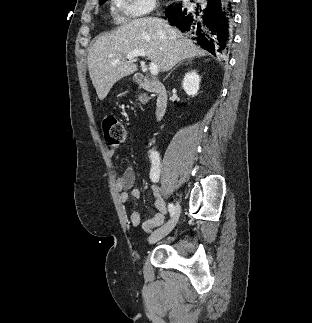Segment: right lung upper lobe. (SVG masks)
<instances>
[{
    "label": "right lung upper lobe",
    "mask_w": 312,
    "mask_h": 323,
    "mask_svg": "<svg viewBox=\"0 0 312 323\" xmlns=\"http://www.w3.org/2000/svg\"><path fill=\"white\" fill-rule=\"evenodd\" d=\"M106 0H99L100 4H103Z\"/></svg>",
    "instance_id": "obj_1"
}]
</instances>
